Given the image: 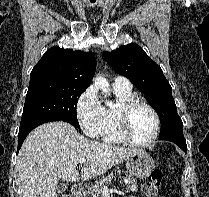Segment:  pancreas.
Instances as JSON below:
<instances>
[{"label":"pancreas","instance_id":"1","mask_svg":"<svg viewBox=\"0 0 209 197\" xmlns=\"http://www.w3.org/2000/svg\"><path fill=\"white\" fill-rule=\"evenodd\" d=\"M112 178H113V173L103 176L101 180H97L95 184L90 188L89 193L93 197H100V194L102 193L105 184L111 182ZM126 181H127L126 183L127 191L136 192L138 190L137 182L134 178L127 175Z\"/></svg>","mask_w":209,"mask_h":197}]
</instances>
